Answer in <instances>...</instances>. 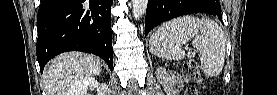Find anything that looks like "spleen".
<instances>
[{"label":"spleen","instance_id":"3e777b00","mask_svg":"<svg viewBox=\"0 0 277 95\" xmlns=\"http://www.w3.org/2000/svg\"><path fill=\"white\" fill-rule=\"evenodd\" d=\"M190 40L201 56L205 75L220 74L225 63L226 38L222 28L211 19L183 16L165 22L150 37L149 50L159 58L179 61L185 57L182 45Z\"/></svg>","mask_w":277,"mask_h":95}]
</instances>
